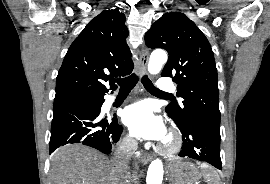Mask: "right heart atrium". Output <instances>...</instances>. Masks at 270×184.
<instances>
[{
    "label": "right heart atrium",
    "mask_w": 270,
    "mask_h": 184,
    "mask_svg": "<svg viewBox=\"0 0 270 184\" xmlns=\"http://www.w3.org/2000/svg\"><path fill=\"white\" fill-rule=\"evenodd\" d=\"M124 145L126 147H128V148H132L133 145H134V142H133L132 139H130V138L127 137V138L124 139Z\"/></svg>",
    "instance_id": "1"
}]
</instances>
